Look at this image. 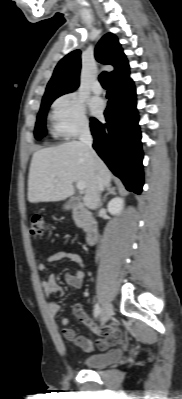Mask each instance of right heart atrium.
Wrapping results in <instances>:
<instances>
[{"instance_id": "1", "label": "right heart atrium", "mask_w": 182, "mask_h": 399, "mask_svg": "<svg viewBox=\"0 0 182 399\" xmlns=\"http://www.w3.org/2000/svg\"><path fill=\"white\" fill-rule=\"evenodd\" d=\"M51 118L59 138L75 137L89 128L85 101L76 92L65 93L53 102Z\"/></svg>"}]
</instances>
